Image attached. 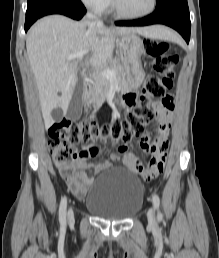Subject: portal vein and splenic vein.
I'll use <instances>...</instances> for the list:
<instances>
[{"mask_svg":"<svg viewBox=\"0 0 219 258\" xmlns=\"http://www.w3.org/2000/svg\"><path fill=\"white\" fill-rule=\"evenodd\" d=\"M89 50L82 51L78 53L77 55H71L68 57V60H73V59H80L82 58ZM115 71L114 70H104L101 72V75L105 78H112L115 77Z\"/></svg>","mask_w":219,"mask_h":258,"instance_id":"obj_1","label":"portal vein and splenic vein"}]
</instances>
